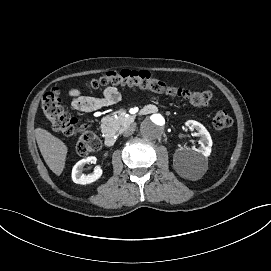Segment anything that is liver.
Returning <instances> with one entry per match:
<instances>
[{
	"mask_svg": "<svg viewBox=\"0 0 271 271\" xmlns=\"http://www.w3.org/2000/svg\"><path fill=\"white\" fill-rule=\"evenodd\" d=\"M35 137L40 152L50 168L57 176L61 175L67 155V146L47 130L37 128Z\"/></svg>",
	"mask_w": 271,
	"mask_h": 271,
	"instance_id": "1",
	"label": "liver"
}]
</instances>
